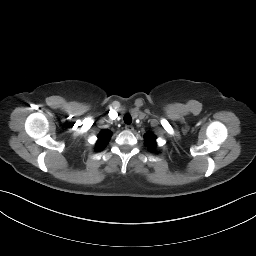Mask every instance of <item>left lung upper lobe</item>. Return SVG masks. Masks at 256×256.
<instances>
[{"mask_svg":"<svg viewBox=\"0 0 256 256\" xmlns=\"http://www.w3.org/2000/svg\"><path fill=\"white\" fill-rule=\"evenodd\" d=\"M156 137L153 134H146L145 136V144L149 150H153L156 147Z\"/></svg>","mask_w":256,"mask_h":256,"instance_id":"5c2ea615","label":"left lung upper lobe"}]
</instances>
